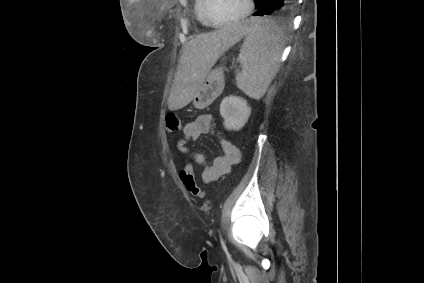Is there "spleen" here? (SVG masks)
<instances>
[{"label": "spleen", "instance_id": "3e777b00", "mask_svg": "<svg viewBox=\"0 0 424 283\" xmlns=\"http://www.w3.org/2000/svg\"><path fill=\"white\" fill-rule=\"evenodd\" d=\"M238 60L242 70H236V84L248 96L260 99L279 70V60L285 44L283 31L269 19L251 18Z\"/></svg>", "mask_w": 424, "mask_h": 283}]
</instances>
